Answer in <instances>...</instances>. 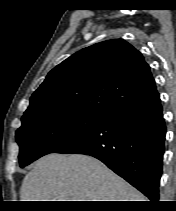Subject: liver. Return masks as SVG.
I'll return each mask as SVG.
<instances>
[{
  "label": "liver",
  "mask_w": 176,
  "mask_h": 211,
  "mask_svg": "<svg viewBox=\"0 0 176 211\" xmlns=\"http://www.w3.org/2000/svg\"><path fill=\"white\" fill-rule=\"evenodd\" d=\"M21 201H144L101 161L82 154H48L26 174Z\"/></svg>",
  "instance_id": "1"
}]
</instances>
